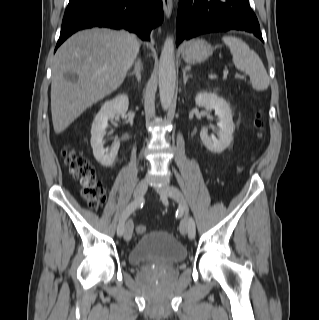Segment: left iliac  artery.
<instances>
[{
	"mask_svg": "<svg viewBox=\"0 0 319 320\" xmlns=\"http://www.w3.org/2000/svg\"><path fill=\"white\" fill-rule=\"evenodd\" d=\"M196 236V228H195V222L192 218L189 219V237L191 239H194Z\"/></svg>",
	"mask_w": 319,
	"mask_h": 320,
	"instance_id": "obj_1",
	"label": "left iliac artery"
}]
</instances>
